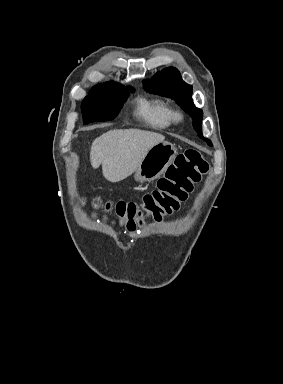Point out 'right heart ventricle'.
<instances>
[{"label":"right heart ventricle","instance_id":"1","mask_svg":"<svg viewBox=\"0 0 283 384\" xmlns=\"http://www.w3.org/2000/svg\"><path fill=\"white\" fill-rule=\"evenodd\" d=\"M135 114L157 130L167 129L172 123L170 105L160 97L139 96L135 100Z\"/></svg>","mask_w":283,"mask_h":384}]
</instances>
